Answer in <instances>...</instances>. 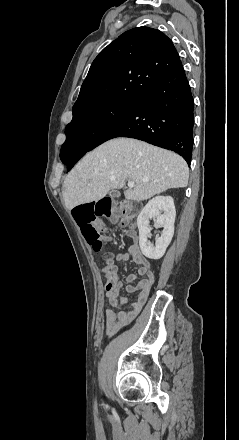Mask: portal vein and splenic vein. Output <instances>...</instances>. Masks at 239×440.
<instances>
[{"label":"portal vein and splenic vein","instance_id":"1","mask_svg":"<svg viewBox=\"0 0 239 440\" xmlns=\"http://www.w3.org/2000/svg\"><path fill=\"white\" fill-rule=\"evenodd\" d=\"M135 182H128V188H134Z\"/></svg>","mask_w":239,"mask_h":440}]
</instances>
